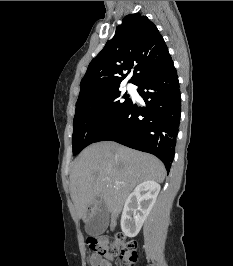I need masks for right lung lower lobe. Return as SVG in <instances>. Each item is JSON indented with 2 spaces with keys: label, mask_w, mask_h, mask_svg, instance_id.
Returning a JSON list of instances; mask_svg holds the SVG:
<instances>
[{
  "label": "right lung lower lobe",
  "mask_w": 233,
  "mask_h": 266,
  "mask_svg": "<svg viewBox=\"0 0 233 266\" xmlns=\"http://www.w3.org/2000/svg\"><path fill=\"white\" fill-rule=\"evenodd\" d=\"M144 107L134 102L95 142L115 141L157 156L169 171L174 157L181 98L176 69L169 58L139 84Z\"/></svg>",
  "instance_id": "right-lung-lower-lobe-1"
}]
</instances>
